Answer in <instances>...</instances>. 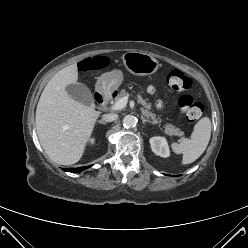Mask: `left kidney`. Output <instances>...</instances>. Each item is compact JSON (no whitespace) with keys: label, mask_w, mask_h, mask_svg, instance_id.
Instances as JSON below:
<instances>
[{"label":"left kidney","mask_w":248,"mask_h":248,"mask_svg":"<svg viewBox=\"0 0 248 248\" xmlns=\"http://www.w3.org/2000/svg\"><path fill=\"white\" fill-rule=\"evenodd\" d=\"M149 141L151 149L156 155L164 158L170 156V150L166 138L155 136L150 138Z\"/></svg>","instance_id":"1"}]
</instances>
